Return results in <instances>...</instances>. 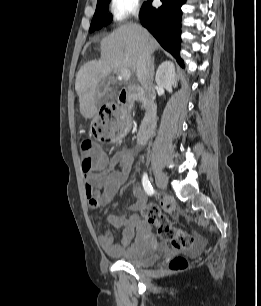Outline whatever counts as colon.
<instances>
[{
	"label": "colon",
	"instance_id": "colon-1",
	"mask_svg": "<svg viewBox=\"0 0 261 306\" xmlns=\"http://www.w3.org/2000/svg\"><path fill=\"white\" fill-rule=\"evenodd\" d=\"M110 115L116 117L114 123L109 124L103 119H98L93 126L92 137L98 141H109L110 139H120L126 130V117L116 110L112 105L107 107ZM80 156L82 160V170L84 172L90 171L99 165V159L96 152H94L91 140H84L79 147ZM161 206L166 210H171L173 204L169 200L161 201ZM142 217L145 221L153 224L157 228L159 238L170 243L175 251H187L193 248L195 241L192 235L180 231L172 227L167 216L162 213L160 206L157 203H151L145 206L141 211ZM188 268L187 260L182 256L174 257L168 264L170 271H182Z\"/></svg>",
	"mask_w": 261,
	"mask_h": 306
}]
</instances>
